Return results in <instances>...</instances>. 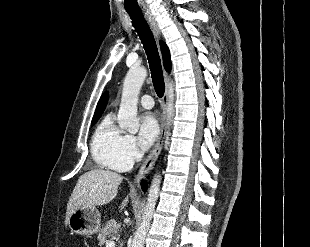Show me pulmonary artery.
Returning <instances> with one entry per match:
<instances>
[{"mask_svg": "<svg viewBox=\"0 0 310 247\" xmlns=\"http://www.w3.org/2000/svg\"><path fill=\"white\" fill-rule=\"evenodd\" d=\"M140 103L144 108H147V109H150L154 106L153 98L150 95L141 96Z\"/></svg>", "mask_w": 310, "mask_h": 247, "instance_id": "pulmonary-artery-1", "label": "pulmonary artery"}]
</instances>
